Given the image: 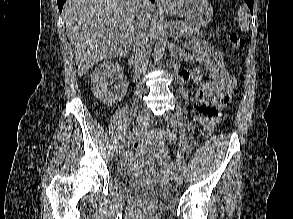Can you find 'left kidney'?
Wrapping results in <instances>:
<instances>
[{
  "label": "left kidney",
  "mask_w": 293,
  "mask_h": 219,
  "mask_svg": "<svg viewBox=\"0 0 293 219\" xmlns=\"http://www.w3.org/2000/svg\"><path fill=\"white\" fill-rule=\"evenodd\" d=\"M201 77H202V71H201V69L200 68H196L194 70V72H193V76H192L193 80H200Z\"/></svg>",
  "instance_id": "5707ae66"
}]
</instances>
